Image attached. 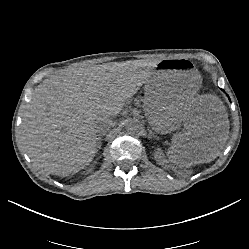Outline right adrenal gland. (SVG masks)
I'll return each instance as SVG.
<instances>
[{
    "label": "right adrenal gland",
    "instance_id": "right-adrenal-gland-1",
    "mask_svg": "<svg viewBox=\"0 0 249 249\" xmlns=\"http://www.w3.org/2000/svg\"><path fill=\"white\" fill-rule=\"evenodd\" d=\"M105 135V132H99V136H98V148L101 147V139L102 137Z\"/></svg>",
    "mask_w": 249,
    "mask_h": 249
}]
</instances>
